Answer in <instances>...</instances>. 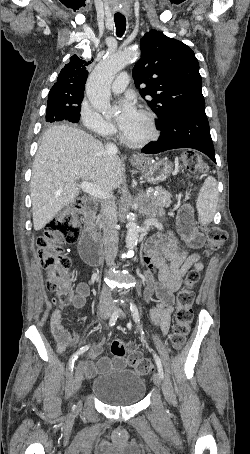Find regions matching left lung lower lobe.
Wrapping results in <instances>:
<instances>
[{
	"mask_svg": "<svg viewBox=\"0 0 250 454\" xmlns=\"http://www.w3.org/2000/svg\"><path fill=\"white\" fill-rule=\"evenodd\" d=\"M158 129L161 131L159 139L142 148L145 154H156L176 148H193L205 153L216 163L205 110L180 113Z\"/></svg>",
	"mask_w": 250,
	"mask_h": 454,
	"instance_id": "0a47b994",
	"label": "left lung lower lobe"
}]
</instances>
